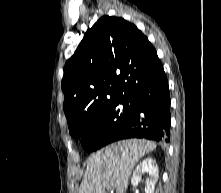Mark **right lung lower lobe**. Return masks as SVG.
Segmentation results:
<instances>
[{"mask_svg": "<svg viewBox=\"0 0 221 193\" xmlns=\"http://www.w3.org/2000/svg\"><path fill=\"white\" fill-rule=\"evenodd\" d=\"M133 113L125 127L110 142L125 138L170 140V96L168 80L160 63L132 98Z\"/></svg>", "mask_w": 221, "mask_h": 193, "instance_id": "obj_1", "label": "right lung lower lobe"}]
</instances>
